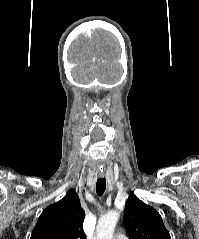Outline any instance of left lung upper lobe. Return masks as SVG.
Here are the masks:
<instances>
[{"mask_svg": "<svg viewBox=\"0 0 199 239\" xmlns=\"http://www.w3.org/2000/svg\"><path fill=\"white\" fill-rule=\"evenodd\" d=\"M124 224L130 239H171L160 214L133 193L125 204Z\"/></svg>", "mask_w": 199, "mask_h": 239, "instance_id": "left-lung-upper-lobe-1", "label": "left lung upper lobe"}]
</instances>
